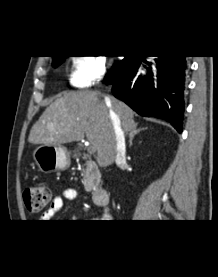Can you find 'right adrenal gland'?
<instances>
[{"mask_svg": "<svg viewBox=\"0 0 218 277\" xmlns=\"http://www.w3.org/2000/svg\"><path fill=\"white\" fill-rule=\"evenodd\" d=\"M146 129H147V127L137 129V124H136L135 128L129 133V147L132 146V141H133L134 137L137 134H139L141 131H144Z\"/></svg>", "mask_w": 218, "mask_h": 277, "instance_id": "right-adrenal-gland-1", "label": "right adrenal gland"}]
</instances>
